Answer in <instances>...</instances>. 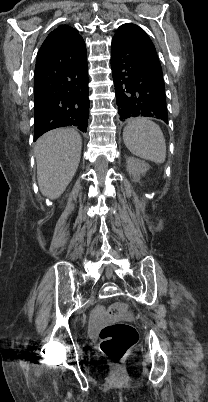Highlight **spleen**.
Listing matches in <instances>:
<instances>
[{
    "label": "spleen",
    "mask_w": 208,
    "mask_h": 402,
    "mask_svg": "<svg viewBox=\"0 0 208 402\" xmlns=\"http://www.w3.org/2000/svg\"><path fill=\"white\" fill-rule=\"evenodd\" d=\"M123 140L131 154L163 164L166 160V144L163 132L149 118H134L123 130Z\"/></svg>",
    "instance_id": "spleen-1"
}]
</instances>
